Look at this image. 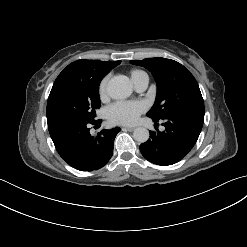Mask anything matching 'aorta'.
Instances as JSON below:
<instances>
[{"label":"aorta","instance_id":"obj_1","mask_svg":"<svg viewBox=\"0 0 247 247\" xmlns=\"http://www.w3.org/2000/svg\"><path fill=\"white\" fill-rule=\"evenodd\" d=\"M107 93L112 99H125L132 94V86L127 80L114 77L108 83ZM133 138L139 143H144L149 139V131L144 127H138L133 132Z\"/></svg>","mask_w":247,"mask_h":247}]
</instances>
